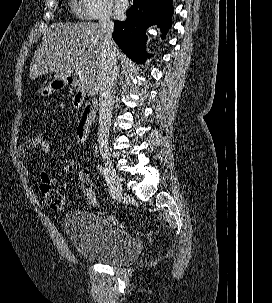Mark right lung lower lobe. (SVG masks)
<instances>
[{
    "label": "right lung lower lobe",
    "mask_w": 272,
    "mask_h": 303,
    "mask_svg": "<svg viewBox=\"0 0 272 303\" xmlns=\"http://www.w3.org/2000/svg\"><path fill=\"white\" fill-rule=\"evenodd\" d=\"M125 21H115L113 39L133 61L142 63L146 57V29L157 24L164 38L172 25L171 0H134Z\"/></svg>",
    "instance_id": "1"
}]
</instances>
